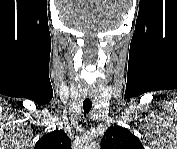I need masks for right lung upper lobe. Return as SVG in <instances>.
<instances>
[{"label": "right lung upper lobe", "mask_w": 177, "mask_h": 149, "mask_svg": "<svg viewBox=\"0 0 177 149\" xmlns=\"http://www.w3.org/2000/svg\"><path fill=\"white\" fill-rule=\"evenodd\" d=\"M35 149H71V140L64 131L55 130L40 138Z\"/></svg>", "instance_id": "obj_1"}]
</instances>
